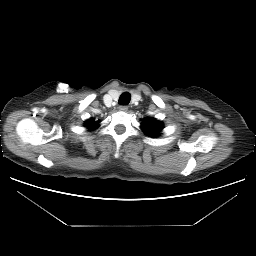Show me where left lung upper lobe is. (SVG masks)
<instances>
[{"mask_svg":"<svg viewBox=\"0 0 256 256\" xmlns=\"http://www.w3.org/2000/svg\"><path fill=\"white\" fill-rule=\"evenodd\" d=\"M141 125L144 132L150 136H156L163 129L162 122L155 118H145Z\"/></svg>","mask_w":256,"mask_h":256,"instance_id":"5c2ea615","label":"left lung upper lobe"}]
</instances>
